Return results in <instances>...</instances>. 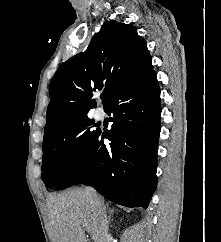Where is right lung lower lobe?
Wrapping results in <instances>:
<instances>
[{"mask_svg":"<svg viewBox=\"0 0 221 242\" xmlns=\"http://www.w3.org/2000/svg\"><path fill=\"white\" fill-rule=\"evenodd\" d=\"M160 101L154 70L118 93L105 109L113 113L112 129L98 131L54 189L86 184L114 203L147 208L157 186Z\"/></svg>","mask_w":221,"mask_h":242,"instance_id":"obj_1","label":"right lung lower lobe"}]
</instances>
